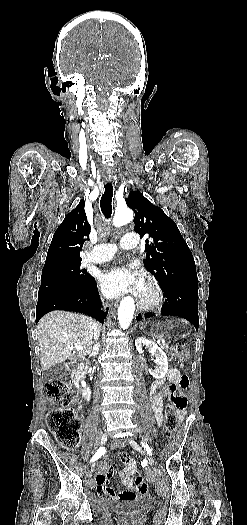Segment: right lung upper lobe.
Returning a JSON list of instances; mask_svg holds the SVG:
<instances>
[{
	"mask_svg": "<svg viewBox=\"0 0 247 525\" xmlns=\"http://www.w3.org/2000/svg\"><path fill=\"white\" fill-rule=\"evenodd\" d=\"M84 206L81 199L55 231L42 271L81 263L80 250L90 234Z\"/></svg>",
	"mask_w": 247,
	"mask_h": 525,
	"instance_id": "obj_1",
	"label": "right lung upper lobe"
}]
</instances>
